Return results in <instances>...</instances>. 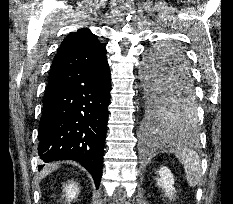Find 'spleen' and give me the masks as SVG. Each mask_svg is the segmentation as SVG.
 <instances>
[{
  "label": "spleen",
  "mask_w": 233,
  "mask_h": 204,
  "mask_svg": "<svg viewBox=\"0 0 233 204\" xmlns=\"http://www.w3.org/2000/svg\"><path fill=\"white\" fill-rule=\"evenodd\" d=\"M172 151L184 167L188 185L190 187H196L202 175V167L198 153L184 144H177Z\"/></svg>",
  "instance_id": "spleen-1"
}]
</instances>
